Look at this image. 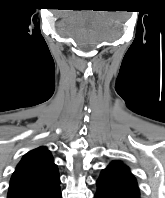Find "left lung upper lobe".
<instances>
[{
    "label": "left lung upper lobe",
    "mask_w": 165,
    "mask_h": 198,
    "mask_svg": "<svg viewBox=\"0 0 165 198\" xmlns=\"http://www.w3.org/2000/svg\"><path fill=\"white\" fill-rule=\"evenodd\" d=\"M104 170L111 172L112 174L120 178L122 181L138 188L136 179L130 172L129 168L122 162L112 161L110 165Z\"/></svg>",
    "instance_id": "left-lung-upper-lobe-1"
}]
</instances>
